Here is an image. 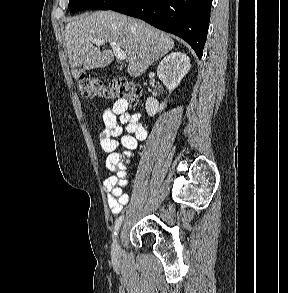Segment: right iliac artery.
Returning a JSON list of instances; mask_svg holds the SVG:
<instances>
[{"instance_id":"right-iliac-artery-1","label":"right iliac artery","mask_w":288,"mask_h":293,"mask_svg":"<svg viewBox=\"0 0 288 293\" xmlns=\"http://www.w3.org/2000/svg\"><path fill=\"white\" fill-rule=\"evenodd\" d=\"M123 218H124V216L121 215L120 217H118L116 219V222H115V232H114L115 235H117V232L116 231L119 229V227H120V225H121V223L123 221Z\"/></svg>"}]
</instances>
